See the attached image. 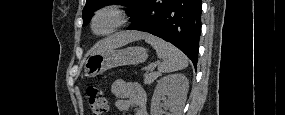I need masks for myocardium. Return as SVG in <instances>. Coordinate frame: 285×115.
Here are the masks:
<instances>
[{
	"label": "myocardium",
	"mask_w": 285,
	"mask_h": 115,
	"mask_svg": "<svg viewBox=\"0 0 285 115\" xmlns=\"http://www.w3.org/2000/svg\"><path fill=\"white\" fill-rule=\"evenodd\" d=\"M109 15L113 18V24L106 30H97V21L103 16ZM129 15L125 8L120 5L110 4L97 9L91 17V30L99 36L110 35L120 30L128 22Z\"/></svg>",
	"instance_id": "myocardium-1"
}]
</instances>
